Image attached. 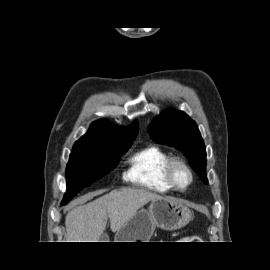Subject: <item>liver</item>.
I'll return each mask as SVG.
<instances>
[{
  "label": "liver",
  "instance_id": "6515ba94",
  "mask_svg": "<svg viewBox=\"0 0 270 270\" xmlns=\"http://www.w3.org/2000/svg\"><path fill=\"white\" fill-rule=\"evenodd\" d=\"M102 191L88 195L90 199ZM162 196L145 189L121 188L71 209L65 218L67 242H101L107 219L117 232L149 201Z\"/></svg>",
  "mask_w": 270,
  "mask_h": 270
}]
</instances>
